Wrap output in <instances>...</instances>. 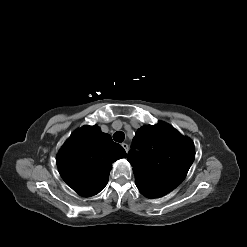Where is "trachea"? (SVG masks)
Wrapping results in <instances>:
<instances>
[{"label":"trachea","mask_w":247,"mask_h":247,"mask_svg":"<svg viewBox=\"0 0 247 247\" xmlns=\"http://www.w3.org/2000/svg\"><path fill=\"white\" fill-rule=\"evenodd\" d=\"M113 139L116 141V142H123L124 139H125V134L122 132V131H117L113 134Z\"/></svg>","instance_id":"obj_1"}]
</instances>
